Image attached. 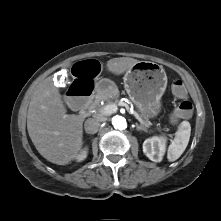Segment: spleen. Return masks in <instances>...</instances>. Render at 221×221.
<instances>
[{
  "instance_id": "spleen-1",
  "label": "spleen",
  "mask_w": 221,
  "mask_h": 221,
  "mask_svg": "<svg viewBox=\"0 0 221 221\" xmlns=\"http://www.w3.org/2000/svg\"><path fill=\"white\" fill-rule=\"evenodd\" d=\"M191 134V126L188 121H183L178 126L175 138L168 147L167 158L173 162L185 151Z\"/></svg>"
}]
</instances>
